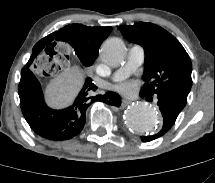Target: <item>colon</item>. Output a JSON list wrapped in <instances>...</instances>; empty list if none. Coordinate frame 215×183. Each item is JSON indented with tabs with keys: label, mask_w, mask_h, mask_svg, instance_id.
I'll return each instance as SVG.
<instances>
[{
	"label": "colon",
	"mask_w": 215,
	"mask_h": 183,
	"mask_svg": "<svg viewBox=\"0 0 215 183\" xmlns=\"http://www.w3.org/2000/svg\"><path fill=\"white\" fill-rule=\"evenodd\" d=\"M71 57V48L66 42L53 41L33 59L32 72L39 79H50L56 73L63 72L69 67Z\"/></svg>",
	"instance_id": "obj_1"
}]
</instances>
